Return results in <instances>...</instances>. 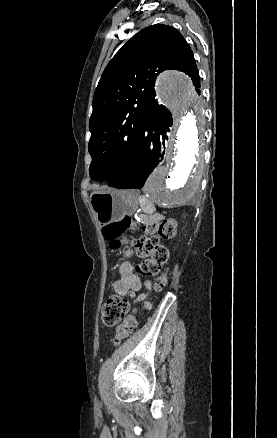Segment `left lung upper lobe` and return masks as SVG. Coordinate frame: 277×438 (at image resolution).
Instances as JSON below:
<instances>
[{"label": "left lung upper lobe", "mask_w": 277, "mask_h": 438, "mask_svg": "<svg viewBox=\"0 0 277 438\" xmlns=\"http://www.w3.org/2000/svg\"><path fill=\"white\" fill-rule=\"evenodd\" d=\"M167 69L185 72L200 87L188 43L174 27L162 24L135 34L108 63L94 93L89 121L91 179L110 185L126 170L146 107L155 97V79Z\"/></svg>", "instance_id": "obj_1"}]
</instances>
